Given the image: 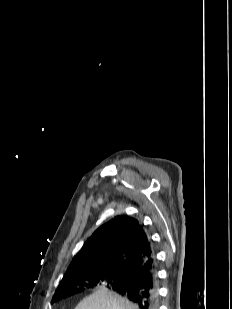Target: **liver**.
Listing matches in <instances>:
<instances>
[{
  "label": "liver",
  "mask_w": 232,
  "mask_h": 309,
  "mask_svg": "<svg viewBox=\"0 0 232 309\" xmlns=\"http://www.w3.org/2000/svg\"><path fill=\"white\" fill-rule=\"evenodd\" d=\"M75 309H139L126 298L101 288L84 298Z\"/></svg>",
  "instance_id": "liver-1"
}]
</instances>
